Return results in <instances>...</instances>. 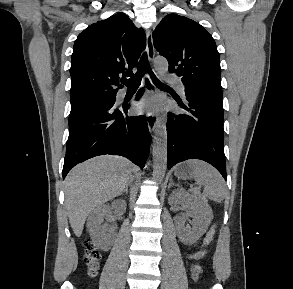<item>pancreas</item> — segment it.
<instances>
[{"instance_id":"pancreas-1","label":"pancreas","mask_w":293,"mask_h":289,"mask_svg":"<svg viewBox=\"0 0 293 289\" xmlns=\"http://www.w3.org/2000/svg\"><path fill=\"white\" fill-rule=\"evenodd\" d=\"M193 193L196 195V196H200V192L198 190H193Z\"/></svg>"}]
</instances>
